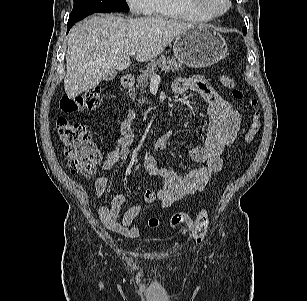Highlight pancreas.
Instances as JSON below:
<instances>
[{"instance_id":"1","label":"pancreas","mask_w":307,"mask_h":301,"mask_svg":"<svg viewBox=\"0 0 307 301\" xmlns=\"http://www.w3.org/2000/svg\"><path fill=\"white\" fill-rule=\"evenodd\" d=\"M179 71L182 70V66L180 63L176 61L174 57L161 55L156 61H152L147 64L145 69L142 71V74H140L137 78V88H147L151 79L156 74L157 71ZM134 90H132L131 95L133 94ZM144 93V91H142ZM140 104L147 103L146 98L142 97V99L139 100Z\"/></svg>"}]
</instances>
